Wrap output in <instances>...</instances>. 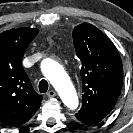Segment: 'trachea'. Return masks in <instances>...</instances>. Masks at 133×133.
<instances>
[{
	"mask_svg": "<svg viewBox=\"0 0 133 133\" xmlns=\"http://www.w3.org/2000/svg\"><path fill=\"white\" fill-rule=\"evenodd\" d=\"M47 90H48V82L46 81V80H41L40 82H39V91L41 92V93H46L47 92Z\"/></svg>",
	"mask_w": 133,
	"mask_h": 133,
	"instance_id": "1",
	"label": "trachea"
}]
</instances>
